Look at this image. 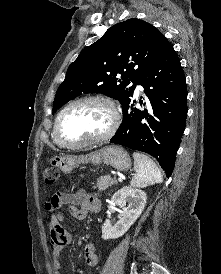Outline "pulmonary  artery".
Instances as JSON below:
<instances>
[{
    "label": "pulmonary artery",
    "instance_id": "obj_1",
    "mask_svg": "<svg viewBox=\"0 0 221 274\" xmlns=\"http://www.w3.org/2000/svg\"><path fill=\"white\" fill-rule=\"evenodd\" d=\"M142 89H143V88H142L141 85H137V87H136V91H137V92L142 91Z\"/></svg>",
    "mask_w": 221,
    "mask_h": 274
}]
</instances>
